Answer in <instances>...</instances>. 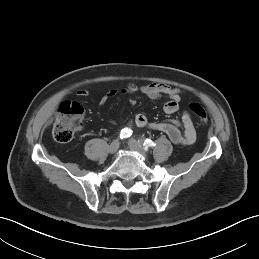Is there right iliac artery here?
<instances>
[{"label": "right iliac artery", "mask_w": 259, "mask_h": 259, "mask_svg": "<svg viewBox=\"0 0 259 259\" xmlns=\"http://www.w3.org/2000/svg\"><path fill=\"white\" fill-rule=\"evenodd\" d=\"M132 135V130L128 129V128H124L121 130L120 132V138L121 139H125L128 138Z\"/></svg>", "instance_id": "right-iliac-artery-1"}]
</instances>
